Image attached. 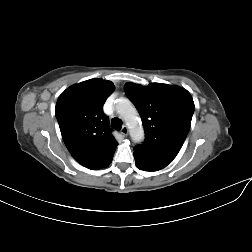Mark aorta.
Returning a JSON list of instances; mask_svg holds the SVG:
<instances>
[{
    "instance_id": "aorta-1",
    "label": "aorta",
    "mask_w": 252,
    "mask_h": 252,
    "mask_svg": "<svg viewBox=\"0 0 252 252\" xmlns=\"http://www.w3.org/2000/svg\"><path fill=\"white\" fill-rule=\"evenodd\" d=\"M116 108L127 123L132 140L136 143L141 142L144 139V131L140 124L137 111L132 106L131 102L126 98H121Z\"/></svg>"
}]
</instances>
